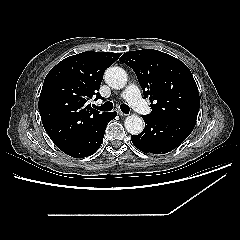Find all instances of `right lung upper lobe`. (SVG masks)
Here are the masks:
<instances>
[{
    "instance_id": "1",
    "label": "right lung upper lobe",
    "mask_w": 240,
    "mask_h": 240,
    "mask_svg": "<svg viewBox=\"0 0 240 240\" xmlns=\"http://www.w3.org/2000/svg\"><path fill=\"white\" fill-rule=\"evenodd\" d=\"M120 55L86 51L65 58L47 74L38 106L44 129L58 147L87 136L105 115L87 100L101 97L97 91L104 71Z\"/></svg>"
}]
</instances>
